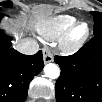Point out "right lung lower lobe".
<instances>
[{"label": "right lung lower lobe", "mask_w": 102, "mask_h": 102, "mask_svg": "<svg viewBox=\"0 0 102 102\" xmlns=\"http://www.w3.org/2000/svg\"><path fill=\"white\" fill-rule=\"evenodd\" d=\"M10 46L11 42L0 31V99L24 102L30 81L44 67L43 56L41 51L32 56L23 55Z\"/></svg>", "instance_id": "right-lung-lower-lobe-1"}]
</instances>
